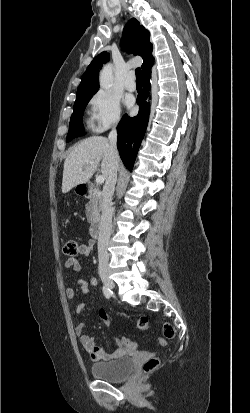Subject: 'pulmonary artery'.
I'll return each mask as SVG.
<instances>
[{"label":"pulmonary artery","instance_id":"e3ab8cb5","mask_svg":"<svg viewBox=\"0 0 250 413\" xmlns=\"http://www.w3.org/2000/svg\"><path fill=\"white\" fill-rule=\"evenodd\" d=\"M125 87L128 91H134L136 89L135 75L133 72L128 73L125 81Z\"/></svg>","mask_w":250,"mask_h":413}]
</instances>
